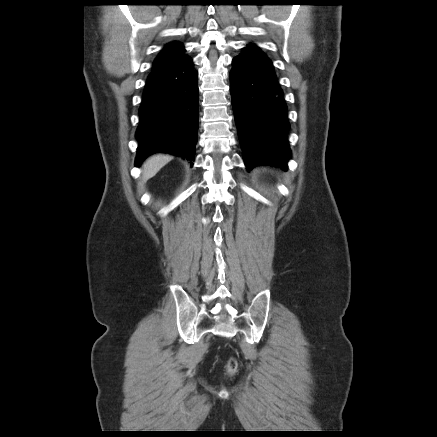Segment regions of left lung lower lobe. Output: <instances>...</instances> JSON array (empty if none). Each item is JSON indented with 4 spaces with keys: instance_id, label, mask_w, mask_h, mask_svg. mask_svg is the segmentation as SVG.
Instances as JSON below:
<instances>
[{
    "instance_id": "0a47b994",
    "label": "left lung lower lobe",
    "mask_w": 437,
    "mask_h": 437,
    "mask_svg": "<svg viewBox=\"0 0 437 437\" xmlns=\"http://www.w3.org/2000/svg\"><path fill=\"white\" fill-rule=\"evenodd\" d=\"M232 65V107L246 168L274 165L286 170L290 124L271 60L250 44Z\"/></svg>"
}]
</instances>
